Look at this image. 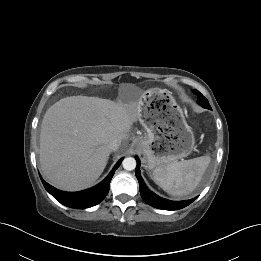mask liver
I'll list each match as a JSON object with an SVG mask.
<instances>
[{"mask_svg": "<svg viewBox=\"0 0 261 261\" xmlns=\"http://www.w3.org/2000/svg\"><path fill=\"white\" fill-rule=\"evenodd\" d=\"M141 100L130 104L87 96L60 99L45 113L39 159L53 186L78 191L91 186L106 167L113 139L129 137Z\"/></svg>", "mask_w": 261, "mask_h": 261, "instance_id": "1", "label": "liver"}]
</instances>
